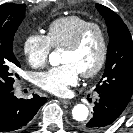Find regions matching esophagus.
<instances>
[{
	"label": "esophagus",
	"instance_id": "esophagus-1",
	"mask_svg": "<svg viewBox=\"0 0 133 133\" xmlns=\"http://www.w3.org/2000/svg\"><path fill=\"white\" fill-rule=\"evenodd\" d=\"M59 101H60L61 103H63V104H70V103H71V101L68 100V99L59 98Z\"/></svg>",
	"mask_w": 133,
	"mask_h": 133
}]
</instances>
